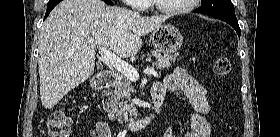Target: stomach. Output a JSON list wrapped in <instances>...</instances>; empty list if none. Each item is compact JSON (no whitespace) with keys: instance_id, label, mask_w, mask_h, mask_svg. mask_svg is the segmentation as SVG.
<instances>
[{"instance_id":"0dacf381","label":"stomach","mask_w":280,"mask_h":137,"mask_svg":"<svg viewBox=\"0 0 280 137\" xmlns=\"http://www.w3.org/2000/svg\"><path fill=\"white\" fill-rule=\"evenodd\" d=\"M151 40L154 48L164 55L175 53L183 44V37L179 29L171 24H161L154 29Z\"/></svg>"}]
</instances>
